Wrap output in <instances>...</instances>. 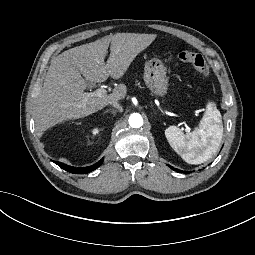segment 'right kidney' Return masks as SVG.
Returning a JSON list of instances; mask_svg holds the SVG:
<instances>
[{
  "label": "right kidney",
  "mask_w": 255,
  "mask_h": 255,
  "mask_svg": "<svg viewBox=\"0 0 255 255\" xmlns=\"http://www.w3.org/2000/svg\"><path fill=\"white\" fill-rule=\"evenodd\" d=\"M97 132H98V130H94V131H93V133H97Z\"/></svg>",
  "instance_id": "ca27d5eb"
}]
</instances>
